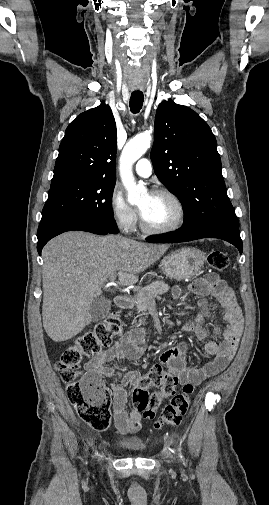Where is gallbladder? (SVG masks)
<instances>
[{"mask_svg":"<svg viewBox=\"0 0 269 505\" xmlns=\"http://www.w3.org/2000/svg\"><path fill=\"white\" fill-rule=\"evenodd\" d=\"M110 309L111 301L109 299L104 297L94 299L89 309V322H95L104 319L108 315Z\"/></svg>","mask_w":269,"mask_h":505,"instance_id":"gallbladder-1","label":"gallbladder"}]
</instances>
